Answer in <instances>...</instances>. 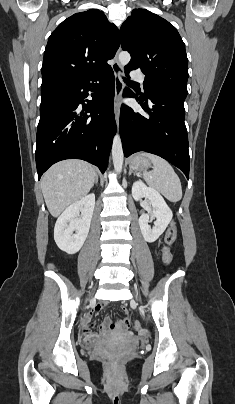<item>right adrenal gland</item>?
Instances as JSON below:
<instances>
[{"instance_id":"2a0ac1e0","label":"right adrenal gland","mask_w":235,"mask_h":404,"mask_svg":"<svg viewBox=\"0 0 235 404\" xmlns=\"http://www.w3.org/2000/svg\"><path fill=\"white\" fill-rule=\"evenodd\" d=\"M97 183H98V175L95 178V184H97Z\"/></svg>"}]
</instances>
